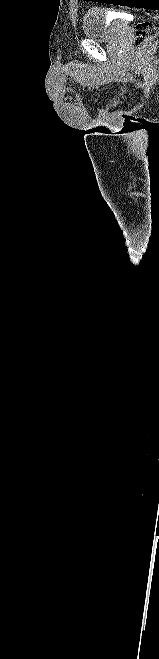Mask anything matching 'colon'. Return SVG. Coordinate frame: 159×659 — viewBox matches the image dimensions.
<instances>
[{"mask_svg": "<svg viewBox=\"0 0 159 659\" xmlns=\"http://www.w3.org/2000/svg\"><path fill=\"white\" fill-rule=\"evenodd\" d=\"M157 36V28L149 20L140 21L135 30L133 37V48L135 50L143 49L146 44Z\"/></svg>", "mask_w": 159, "mask_h": 659, "instance_id": "obj_1", "label": "colon"}]
</instances>
